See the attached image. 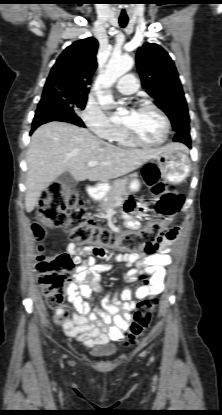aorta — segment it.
Returning a JSON list of instances; mask_svg holds the SVG:
<instances>
[{"mask_svg":"<svg viewBox=\"0 0 222 415\" xmlns=\"http://www.w3.org/2000/svg\"><path fill=\"white\" fill-rule=\"evenodd\" d=\"M133 65L134 60L128 55L112 56L104 72L99 75L97 82L106 88L111 87L118 78L130 71ZM98 102L103 108H109L114 103L113 96L109 93L101 94L98 97Z\"/></svg>","mask_w":222,"mask_h":415,"instance_id":"aorta-1","label":"aorta"}]
</instances>
